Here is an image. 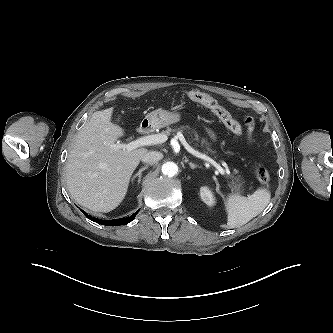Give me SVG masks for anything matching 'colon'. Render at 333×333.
Listing matches in <instances>:
<instances>
[{
	"instance_id": "obj_1",
	"label": "colon",
	"mask_w": 333,
	"mask_h": 333,
	"mask_svg": "<svg viewBox=\"0 0 333 333\" xmlns=\"http://www.w3.org/2000/svg\"><path fill=\"white\" fill-rule=\"evenodd\" d=\"M186 96L189 99L199 102L209 108L229 131L235 135L242 134L243 129L239 122H237L215 99L205 93L196 90L188 91ZM255 175L260 183L266 184L270 180V174L264 167L257 168Z\"/></svg>"
}]
</instances>
